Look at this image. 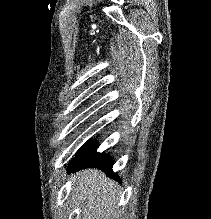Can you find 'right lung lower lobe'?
Here are the masks:
<instances>
[{"label":"right lung lower lobe","mask_w":211,"mask_h":219,"mask_svg":"<svg viewBox=\"0 0 211 219\" xmlns=\"http://www.w3.org/2000/svg\"><path fill=\"white\" fill-rule=\"evenodd\" d=\"M96 148L97 146L85 144L79 156L70 164L69 172L86 167H95L119 180V176L112 171L113 161L111 158L104 153H97Z\"/></svg>","instance_id":"98d812e1"}]
</instances>
